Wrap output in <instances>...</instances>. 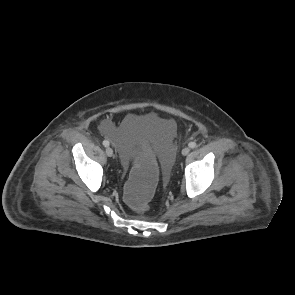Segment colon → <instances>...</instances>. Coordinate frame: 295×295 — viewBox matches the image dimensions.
<instances>
[{"label": "colon", "instance_id": "1", "mask_svg": "<svg viewBox=\"0 0 295 295\" xmlns=\"http://www.w3.org/2000/svg\"><path fill=\"white\" fill-rule=\"evenodd\" d=\"M157 173V166L151 160L136 163L124 185V198L128 206L139 211L150 207L158 187Z\"/></svg>", "mask_w": 295, "mask_h": 295}]
</instances>
